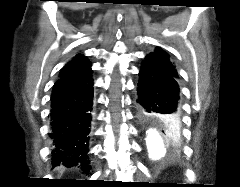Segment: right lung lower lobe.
<instances>
[{
  "label": "right lung lower lobe",
  "instance_id": "obj_1",
  "mask_svg": "<svg viewBox=\"0 0 240 187\" xmlns=\"http://www.w3.org/2000/svg\"><path fill=\"white\" fill-rule=\"evenodd\" d=\"M93 80L91 64L60 76L51 96L50 137L53 167L79 165L88 173L89 133L92 120Z\"/></svg>",
  "mask_w": 240,
  "mask_h": 187
}]
</instances>
